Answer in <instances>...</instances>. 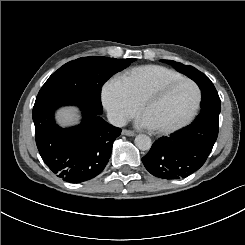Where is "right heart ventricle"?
Returning <instances> with one entry per match:
<instances>
[{"instance_id": "right-heart-ventricle-1", "label": "right heart ventricle", "mask_w": 245, "mask_h": 245, "mask_svg": "<svg viewBox=\"0 0 245 245\" xmlns=\"http://www.w3.org/2000/svg\"><path fill=\"white\" fill-rule=\"evenodd\" d=\"M178 77H181L179 73L166 67L146 65L121 73L112 82L123 87L137 103L141 92L150 84Z\"/></svg>"}]
</instances>
